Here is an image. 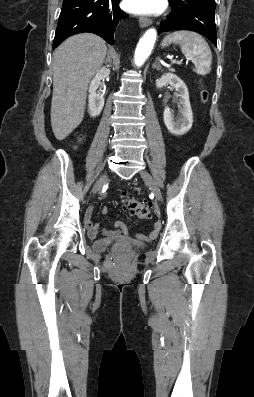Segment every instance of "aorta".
<instances>
[{
	"label": "aorta",
	"mask_w": 254,
	"mask_h": 397,
	"mask_svg": "<svg viewBox=\"0 0 254 397\" xmlns=\"http://www.w3.org/2000/svg\"><path fill=\"white\" fill-rule=\"evenodd\" d=\"M156 30L149 29L140 39L135 51V64L141 66L150 55L156 41Z\"/></svg>",
	"instance_id": "762f6f07"
}]
</instances>
